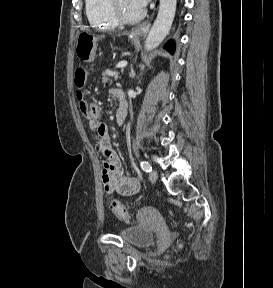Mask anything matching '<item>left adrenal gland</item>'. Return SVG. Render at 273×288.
<instances>
[{"label":"left adrenal gland","mask_w":273,"mask_h":288,"mask_svg":"<svg viewBox=\"0 0 273 288\" xmlns=\"http://www.w3.org/2000/svg\"><path fill=\"white\" fill-rule=\"evenodd\" d=\"M131 77L135 78V72L133 71V69L131 70Z\"/></svg>","instance_id":"a2214340"}]
</instances>
